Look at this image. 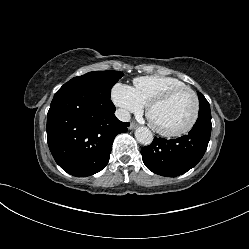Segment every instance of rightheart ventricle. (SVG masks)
<instances>
[{
  "instance_id": "right-heart-ventricle-1",
  "label": "right heart ventricle",
  "mask_w": 249,
  "mask_h": 249,
  "mask_svg": "<svg viewBox=\"0 0 249 249\" xmlns=\"http://www.w3.org/2000/svg\"><path fill=\"white\" fill-rule=\"evenodd\" d=\"M134 90L144 105H148L154 98L164 92L180 86H185L181 80L162 75H148L133 80Z\"/></svg>"
}]
</instances>
